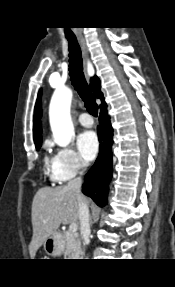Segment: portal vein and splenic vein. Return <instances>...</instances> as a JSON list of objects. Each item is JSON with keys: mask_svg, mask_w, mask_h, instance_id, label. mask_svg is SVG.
Wrapping results in <instances>:
<instances>
[{"mask_svg": "<svg viewBox=\"0 0 175 287\" xmlns=\"http://www.w3.org/2000/svg\"><path fill=\"white\" fill-rule=\"evenodd\" d=\"M69 231L76 232L77 231V224L76 223L70 224Z\"/></svg>", "mask_w": 175, "mask_h": 287, "instance_id": "18ae733b", "label": "portal vein and splenic vein"}]
</instances>
